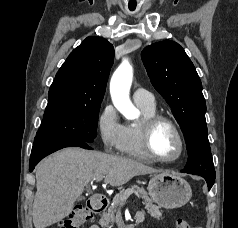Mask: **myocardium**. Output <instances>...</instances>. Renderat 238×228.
<instances>
[{
  "label": "myocardium",
  "mask_w": 238,
  "mask_h": 228,
  "mask_svg": "<svg viewBox=\"0 0 238 228\" xmlns=\"http://www.w3.org/2000/svg\"><path fill=\"white\" fill-rule=\"evenodd\" d=\"M162 123H165L171 127V129L175 133L179 142V152L173 158L167 159V158L159 157L153 150V146H152L153 135L157 127ZM140 130H141V139H142L143 148L146 154L152 160L161 162V163H173L182 157L185 151V140L178 125L171 118L162 114H157V113L152 116L142 118L140 121Z\"/></svg>",
  "instance_id": "1"
}]
</instances>
